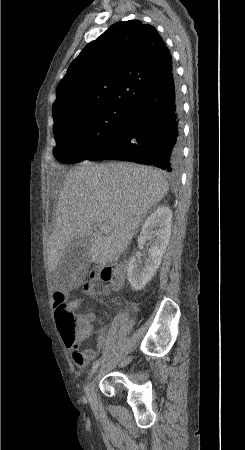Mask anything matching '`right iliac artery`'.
<instances>
[{
	"label": "right iliac artery",
	"mask_w": 245,
	"mask_h": 450,
	"mask_svg": "<svg viewBox=\"0 0 245 450\" xmlns=\"http://www.w3.org/2000/svg\"><path fill=\"white\" fill-rule=\"evenodd\" d=\"M99 364H100V360H97V361L93 364V367H92V369H91V372H90V376H89V377H91V376L93 375V373H94V372L96 371V369L98 368ZM86 393L88 394V387L86 388Z\"/></svg>",
	"instance_id": "1"
}]
</instances>
